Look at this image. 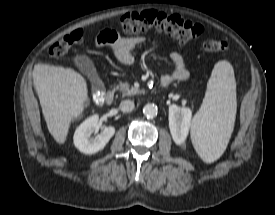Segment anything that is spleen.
I'll use <instances>...</instances> for the list:
<instances>
[{"label":"spleen","mask_w":275,"mask_h":215,"mask_svg":"<svg viewBox=\"0 0 275 215\" xmlns=\"http://www.w3.org/2000/svg\"><path fill=\"white\" fill-rule=\"evenodd\" d=\"M236 81L232 65L222 60L214 65L200 110L191 124L194 148L205 163L224 153L236 117Z\"/></svg>","instance_id":"1"}]
</instances>
